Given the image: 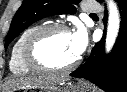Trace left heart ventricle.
I'll list each match as a JSON object with an SVG mask.
<instances>
[{
    "label": "left heart ventricle",
    "mask_w": 127,
    "mask_h": 92,
    "mask_svg": "<svg viewBox=\"0 0 127 92\" xmlns=\"http://www.w3.org/2000/svg\"><path fill=\"white\" fill-rule=\"evenodd\" d=\"M37 54L40 60L51 67H63L74 61L75 53L72 35L67 32H54L41 41Z\"/></svg>",
    "instance_id": "obj_1"
}]
</instances>
